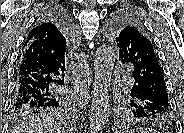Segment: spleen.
I'll return each instance as SVG.
<instances>
[{
  "instance_id": "spleen-1",
  "label": "spleen",
  "mask_w": 184,
  "mask_h": 133,
  "mask_svg": "<svg viewBox=\"0 0 184 133\" xmlns=\"http://www.w3.org/2000/svg\"><path fill=\"white\" fill-rule=\"evenodd\" d=\"M143 133V132H145V130L144 129H135V130H133V131H131V133Z\"/></svg>"
}]
</instances>
